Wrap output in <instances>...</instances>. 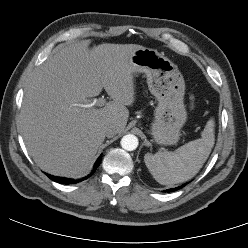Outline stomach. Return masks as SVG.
<instances>
[{
    "instance_id": "stomach-1",
    "label": "stomach",
    "mask_w": 248,
    "mask_h": 248,
    "mask_svg": "<svg viewBox=\"0 0 248 248\" xmlns=\"http://www.w3.org/2000/svg\"><path fill=\"white\" fill-rule=\"evenodd\" d=\"M135 72L144 73L148 88L157 100L150 133L157 144L174 145L187 120L185 82L177 65L157 50L143 48L131 58Z\"/></svg>"
}]
</instances>
